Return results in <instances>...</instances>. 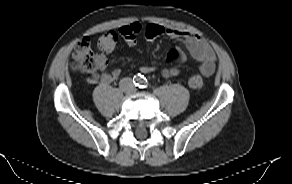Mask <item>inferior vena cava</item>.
Listing matches in <instances>:
<instances>
[{
  "instance_id": "obj_1",
  "label": "inferior vena cava",
  "mask_w": 292,
  "mask_h": 184,
  "mask_svg": "<svg viewBox=\"0 0 292 184\" xmlns=\"http://www.w3.org/2000/svg\"><path fill=\"white\" fill-rule=\"evenodd\" d=\"M119 86L124 92L128 93L132 92L135 88L132 79L129 77L121 79Z\"/></svg>"
}]
</instances>
